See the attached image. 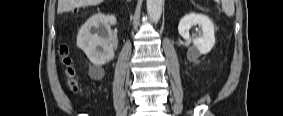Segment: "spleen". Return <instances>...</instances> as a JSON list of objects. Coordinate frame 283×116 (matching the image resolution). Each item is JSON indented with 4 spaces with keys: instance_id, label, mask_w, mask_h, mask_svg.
<instances>
[{
    "instance_id": "3e777b00",
    "label": "spleen",
    "mask_w": 283,
    "mask_h": 116,
    "mask_svg": "<svg viewBox=\"0 0 283 116\" xmlns=\"http://www.w3.org/2000/svg\"><path fill=\"white\" fill-rule=\"evenodd\" d=\"M222 11L228 17H232L235 12L234 0H222Z\"/></svg>"
}]
</instances>
